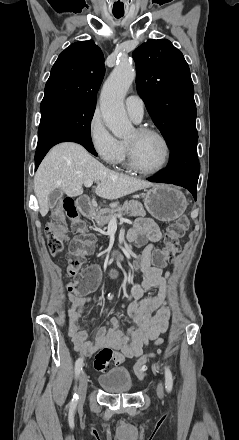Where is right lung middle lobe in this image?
Masks as SVG:
<instances>
[{
	"instance_id": "1",
	"label": "right lung middle lobe",
	"mask_w": 239,
	"mask_h": 440,
	"mask_svg": "<svg viewBox=\"0 0 239 440\" xmlns=\"http://www.w3.org/2000/svg\"><path fill=\"white\" fill-rule=\"evenodd\" d=\"M40 110L38 138L58 130H75L90 135L95 107L70 100H54L41 103Z\"/></svg>"
}]
</instances>
